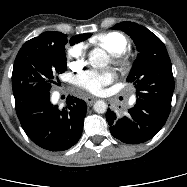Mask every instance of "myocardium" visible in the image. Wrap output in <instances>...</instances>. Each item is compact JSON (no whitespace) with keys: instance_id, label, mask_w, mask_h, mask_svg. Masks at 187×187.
<instances>
[{"instance_id":"myocardium-1","label":"myocardium","mask_w":187,"mask_h":187,"mask_svg":"<svg viewBox=\"0 0 187 187\" xmlns=\"http://www.w3.org/2000/svg\"><path fill=\"white\" fill-rule=\"evenodd\" d=\"M113 57L115 64L118 65L120 68L125 69L129 66V59L125 54H117Z\"/></svg>"}]
</instances>
